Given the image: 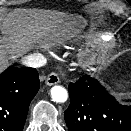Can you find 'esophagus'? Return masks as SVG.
Here are the masks:
<instances>
[{"mask_svg":"<svg viewBox=\"0 0 131 131\" xmlns=\"http://www.w3.org/2000/svg\"><path fill=\"white\" fill-rule=\"evenodd\" d=\"M59 81H60V79H59L58 74L55 73V72H52V73H50V74L48 75V77H47V79H46V84H47L48 86H53V85H55V84H58Z\"/></svg>","mask_w":131,"mask_h":131,"instance_id":"obj_1","label":"esophagus"}]
</instances>
